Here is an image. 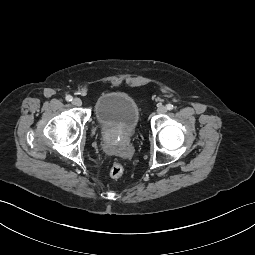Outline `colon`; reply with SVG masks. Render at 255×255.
Listing matches in <instances>:
<instances>
[{
    "mask_svg": "<svg viewBox=\"0 0 255 255\" xmlns=\"http://www.w3.org/2000/svg\"><path fill=\"white\" fill-rule=\"evenodd\" d=\"M124 173V167L120 162H113L109 168V175L114 178H120Z\"/></svg>",
    "mask_w": 255,
    "mask_h": 255,
    "instance_id": "5ec220e1",
    "label": "colon"
}]
</instances>
